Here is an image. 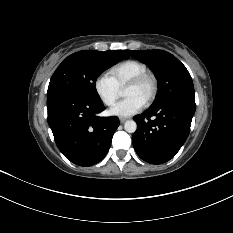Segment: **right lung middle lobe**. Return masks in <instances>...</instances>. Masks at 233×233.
I'll return each mask as SVG.
<instances>
[{
  "label": "right lung middle lobe",
  "mask_w": 233,
  "mask_h": 233,
  "mask_svg": "<svg viewBox=\"0 0 233 233\" xmlns=\"http://www.w3.org/2000/svg\"><path fill=\"white\" fill-rule=\"evenodd\" d=\"M126 50H85L71 54L59 65L51 77L47 96L71 94L92 102H102L95 82L106 69L124 58Z\"/></svg>",
  "instance_id": "dd1d6c3e"
}]
</instances>
